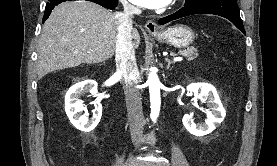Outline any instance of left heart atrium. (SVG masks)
Wrapping results in <instances>:
<instances>
[{"label":"left heart atrium","mask_w":277,"mask_h":166,"mask_svg":"<svg viewBox=\"0 0 277 166\" xmlns=\"http://www.w3.org/2000/svg\"><path fill=\"white\" fill-rule=\"evenodd\" d=\"M134 4L149 8V9H159L167 6L171 0H131Z\"/></svg>","instance_id":"1"}]
</instances>
